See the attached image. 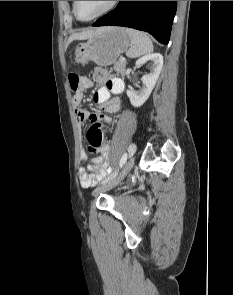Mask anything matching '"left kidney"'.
Segmentation results:
<instances>
[{
  "label": "left kidney",
  "instance_id": "1",
  "mask_svg": "<svg viewBox=\"0 0 233 295\" xmlns=\"http://www.w3.org/2000/svg\"><path fill=\"white\" fill-rule=\"evenodd\" d=\"M151 61V72L142 76L143 88L140 91L127 90V96L134 107H140L149 98L163 66V56L160 53L147 54L136 61V66H142Z\"/></svg>",
  "mask_w": 233,
  "mask_h": 295
}]
</instances>
